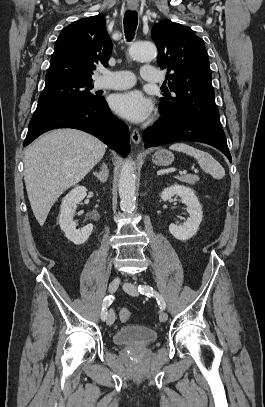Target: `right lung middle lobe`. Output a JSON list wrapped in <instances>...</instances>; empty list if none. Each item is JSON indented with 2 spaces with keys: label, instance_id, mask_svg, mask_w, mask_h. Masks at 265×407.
<instances>
[{
  "label": "right lung middle lobe",
  "instance_id": "1",
  "mask_svg": "<svg viewBox=\"0 0 265 407\" xmlns=\"http://www.w3.org/2000/svg\"><path fill=\"white\" fill-rule=\"evenodd\" d=\"M92 88V81L71 79L46 81L33 116L52 110L91 104L100 98L90 92Z\"/></svg>",
  "mask_w": 265,
  "mask_h": 407
}]
</instances>
